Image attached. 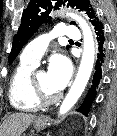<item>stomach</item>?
Listing matches in <instances>:
<instances>
[{
  "instance_id": "obj_1",
  "label": "stomach",
  "mask_w": 117,
  "mask_h": 136,
  "mask_svg": "<svg viewBox=\"0 0 117 136\" xmlns=\"http://www.w3.org/2000/svg\"><path fill=\"white\" fill-rule=\"evenodd\" d=\"M48 118L45 116H40L36 118L33 122V126L36 130L44 129L47 126Z\"/></svg>"
}]
</instances>
